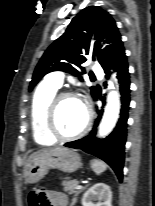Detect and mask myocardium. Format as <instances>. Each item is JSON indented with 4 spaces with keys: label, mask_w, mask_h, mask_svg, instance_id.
<instances>
[{
    "label": "myocardium",
    "mask_w": 155,
    "mask_h": 206,
    "mask_svg": "<svg viewBox=\"0 0 155 206\" xmlns=\"http://www.w3.org/2000/svg\"><path fill=\"white\" fill-rule=\"evenodd\" d=\"M65 98H76L79 99V96L73 92L70 91H62L59 93H56L53 98L50 100L46 112H45V128L46 131L48 132V134L53 137L54 139L57 140H62V141H68V140H73V139H77L82 137L83 135H85L90 127H91V123H92V113L89 109V107L85 104V111H86V119L84 122V125L82 126V128L77 131L76 133L70 134V135H64L62 134L56 125V111L58 108V105L60 103L61 100L65 99Z\"/></svg>",
    "instance_id": "f54148a6"
}]
</instances>
